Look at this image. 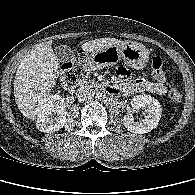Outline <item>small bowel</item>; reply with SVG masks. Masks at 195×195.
Segmentation results:
<instances>
[{
  "label": "small bowel",
  "mask_w": 195,
  "mask_h": 195,
  "mask_svg": "<svg viewBox=\"0 0 195 195\" xmlns=\"http://www.w3.org/2000/svg\"><path fill=\"white\" fill-rule=\"evenodd\" d=\"M117 74L125 79L120 85V89L125 95L129 96L134 93L145 91L156 95H163L167 91L164 81H153L145 78H133L131 77L130 72L124 67H119L117 69Z\"/></svg>",
  "instance_id": "1"
}]
</instances>
